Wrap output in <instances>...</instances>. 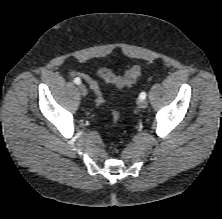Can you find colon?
I'll list each match as a JSON object with an SVG mask.
<instances>
[{
  "mask_svg": "<svg viewBox=\"0 0 222 219\" xmlns=\"http://www.w3.org/2000/svg\"><path fill=\"white\" fill-rule=\"evenodd\" d=\"M141 74V67L137 64L132 65L124 75H116L108 68H99L97 70V75L103 79L105 82L115 85L118 88H124L131 86L137 81ZM90 88L94 91L96 96V103L101 105L105 102L104 97L101 93L99 86L95 83L90 84ZM118 111L113 112V121L117 123L119 120Z\"/></svg>",
  "mask_w": 222,
  "mask_h": 219,
  "instance_id": "5ec220e1",
  "label": "colon"
}]
</instances>
